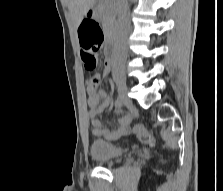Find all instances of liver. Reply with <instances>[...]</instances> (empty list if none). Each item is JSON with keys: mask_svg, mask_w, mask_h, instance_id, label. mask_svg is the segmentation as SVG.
I'll return each mask as SVG.
<instances>
[{"mask_svg": "<svg viewBox=\"0 0 223 191\" xmlns=\"http://www.w3.org/2000/svg\"><path fill=\"white\" fill-rule=\"evenodd\" d=\"M97 0H67L68 9L76 27L80 25L87 12L92 9Z\"/></svg>", "mask_w": 223, "mask_h": 191, "instance_id": "obj_1", "label": "liver"}]
</instances>
